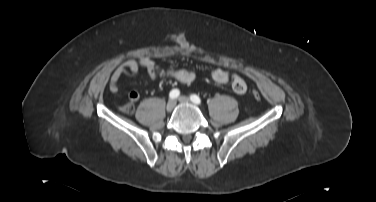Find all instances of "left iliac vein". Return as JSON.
Wrapping results in <instances>:
<instances>
[{"label":"left iliac vein","mask_w":376,"mask_h":202,"mask_svg":"<svg viewBox=\"0 0 376 202\" xmlns=\"http://www.w3.org/2000/svg\"><path fill=\"white\" fill-rule=\"evenodd\" d=\"M178 100L181 102V103H190V99L186 96H180L178 98Z\"/></svg>","instance_id":"4c4485c4"}]
</instances>
